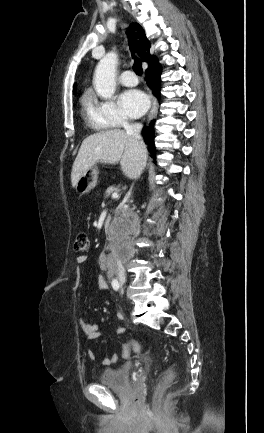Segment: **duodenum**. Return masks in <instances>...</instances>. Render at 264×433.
Segmentation results:
<instances>
[{
    "mask_svg": "<svg viewBox=\"0 0 264 433\" xmlns=\"http://www.w3.org/2000/svg\"><path fill=\"white\" fill-rule=\"evenodd\" d=\"M104 228H105L106 234L109 235L110 234V222L109 221L105 222ZM116 261H117V252H116V250L113 249L110 252V260L108 262V266H109L108 273L109 274H112L116 271V269H117V262Z\"/></svg>",
    "mask_w": 264,
    "mask_h": 433,
    "instance_id": "obj_1",
    "label": "duodenum"
}]
</instances>
